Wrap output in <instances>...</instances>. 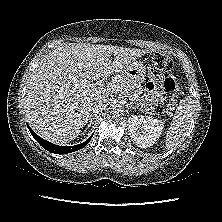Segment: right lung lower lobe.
Wrapping results in <instances>:
<instances>
[{
  "label": "right lung lower lobe",
  "mask_w": 222,
  "mask_h": 222,
  "mask_svg": "<svg viewBox=\"0 0 222 222\" xmlns=\"http://www.w3.org/2000/svg\"><path fill=\"white\" fill-rule=\"evenodd\" d=\"M28 128H29L32 136L37 140V142L43 148H45L49 152L55 153V154H66V153H71V152L77 151L79 149H82L83 147H85L89 143V141L91 140V137H92L91 136L84 143L79 144V145H75V146H58V145L50 143V142L42 139L41 137H39L29 126H28Z\"/></svg>",
  "instance_id": "98d812e1"
}]
</instances>
